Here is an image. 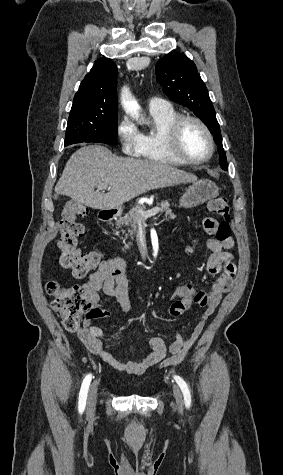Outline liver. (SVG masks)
I'll return each mask as SVG.
<instances>
[{"instance_id":"liver-1","label":"liver","mask_w":283,"mask_h":475,"mask_svg":"<svg viewBox=\"0 0 283 475\" xmlns=\"http://www.w3.org/2000/svg\"><path fill=\"white\" fill-rule=\"evenodd\" d=\"M193 182L197 176L169 164L119 158L104 146H84L68 160L55 192L94 210H118L149 190ZM102 184H108L107 194L95 192Z\"/></svg>"}]
</instances>
